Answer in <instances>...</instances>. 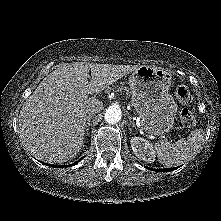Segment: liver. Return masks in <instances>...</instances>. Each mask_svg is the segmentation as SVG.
<instances>
[{"mask_svg":"<svg viewBox=\"0 0 221 221\" xmlns=\"http://www.w3.org/2000/svg\"><path fill=\"white\" fill-rule=\"evenodd\" d=\"M138 67L73 62L52 71L21 108L19 133L26 148L48 163L75 158L84 142L86 110L102 107L99 99L88 94L100 93Z\"/></svg>","mask_w":221,"mask_h":221,"instance_id":"obj_1","label":"liver"}]
</instances>
